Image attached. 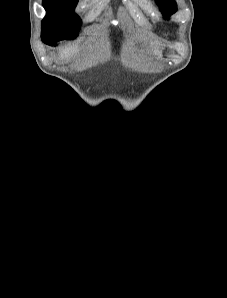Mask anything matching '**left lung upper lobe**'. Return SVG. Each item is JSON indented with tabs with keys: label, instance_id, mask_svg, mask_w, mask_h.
<instances>
[{
	"label": "left lung upper lobe",
	"instance_id": "1",
	"mask_svg": "<svg viewBox=\"0 0 227 298\" xmlns=\"http://www.w3.org/2000/svg\"><path fill=\"white\" fill-rule=\"evenodd\" d=\"M156 3L165 17H169L177 11V4L174 0H156Z\"/></svg>",
	"mask_w": 227,
	"mask_h": 298
}]
</instances>
